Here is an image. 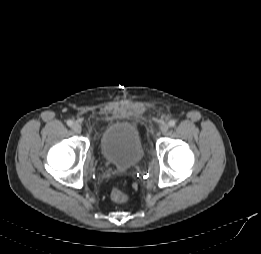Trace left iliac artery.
<instances>
[{"mask_svg":"<svg viewBox=\"0 0 261 254\" xmlns=\"http://www.w3.org/2000/svg\"><path fill=\"white\" fill-rule=\"evenodd\" d=\"M168 125H169L170 127H174V126L176 125V121H175V120H170V121L168 122Z\"/></svg>","mask_w":261,"mask_h":254,"instance_id":"obj_1","label":"left iliac artery"}]
</instances>
